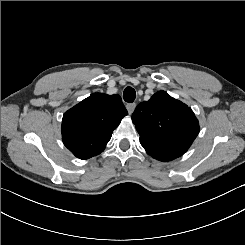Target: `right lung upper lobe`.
I'll return each mask as SVG.
<instances>
[{
  "label": "right lung upper lobe",
  "instance_id": "obj_1",
  "mask_svg": "<svg viewBox=\"0 0 245 245\" xmlns=\"http://www.w3.org/2000/svg\"><path fill=\"white\" fill-rule=\"evenodd\" d=\"M127 114L118 94H91L63 115V143L79 159L96 156Z\"/></svg>",
  "mask_w": 245,
  "mask_h": 245
}]
</instances>
